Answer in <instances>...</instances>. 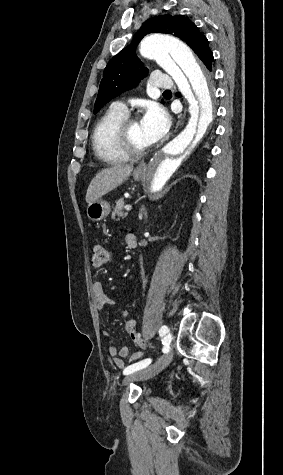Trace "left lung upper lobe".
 <instances>
[{"mask_svg": "<svg viewBox=\"0 0 283 475\" xmlns=\"http://www.w3.org/2000/svg\"><path fill=\"white\" fill-rule=\"evenodd\" d=\"M172 34L185 41L198 57L207 58L208 40L188 18L179 15H161L148 19L140 28L134 42L115 55L103 72L99 93L94 106L97 113L111 99L135 87L147 75L148 69L135 54L139 41L149 33ZM164 103V102H162Z\"/></svg>", "mask_w": 283, "mask_h": 475, "instance_id": "left-lung-upper-lobe-1", "label": "left lung upper lobe"}]
</instances>
